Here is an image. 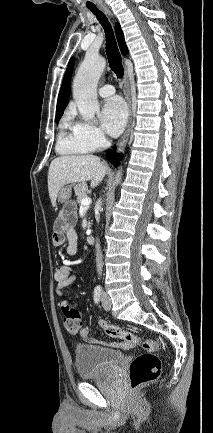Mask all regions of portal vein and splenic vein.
Listing matches in <instances>:
<instances>
[{
    "label": "portal vein and splenic vein",
    "instance_id": "1",
    "mask_svg": "<svg viewBox=\"0 0 213 433\" xmlns=\"http://www.w3.org/2000/svg\"><path fill=\"white\" fill-rule=\"evenodd\" d=\"M91 204V198L85 197L81 201V208H88Z\"/></svg>",
    "mask_w": 213,
    "mask_h": 433
}]
</instances>
